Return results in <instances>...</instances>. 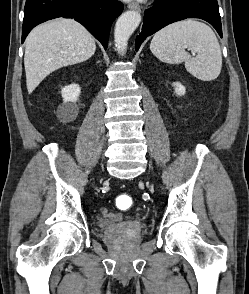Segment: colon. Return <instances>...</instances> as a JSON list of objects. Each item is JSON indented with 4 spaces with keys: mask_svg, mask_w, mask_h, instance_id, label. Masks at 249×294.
<instances>
[{
    "mask_svg": "<svg viewBox=\"0 0 249 294\" xmlns=\"http://www.w3.org/2000/svg\"><path fill=\"white\" fill-rule=\"evenodd\" d=\"M133 199L129 196L122 195L116 200L117 207L120 209H128L133 206Z\"/></svg>",
    "mask_w": 249,
    "mask_h": 294,
    "instance_id": "obj_1",
    "label": "colon"
}]
</instances>
